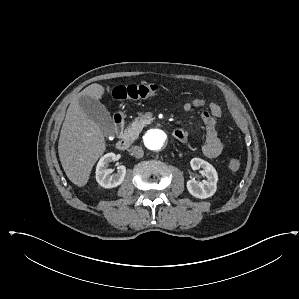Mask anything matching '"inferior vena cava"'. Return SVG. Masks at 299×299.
<instances>
[{"instance_id":"602c4592","label":"inferior vena cava","mask_w":299,"mask_h":299,"mask_svg":"<svg viewBox=\"0 0 299 299\" xmlns=\"http://www.w3.org/2000/svg\"><path fill=\"white\" fill-rule=\"evenodd\" d=\"M130 151L132 152L133 156H135L136 158H142L144 155L143 149L139 146L131 147Z\"/></svg>"}]
</instances>
